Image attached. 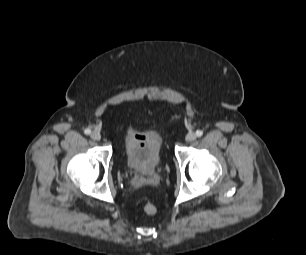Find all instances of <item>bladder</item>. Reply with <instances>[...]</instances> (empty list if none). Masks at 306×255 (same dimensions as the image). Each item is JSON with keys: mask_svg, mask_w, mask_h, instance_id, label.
<instances>
[{"mask_svg": "<svg viewBox=\"0 0 306 255\" xmlns=\"http://www.w3.org/2000/svg\"><path fill=\"white\" fill-rule=\"evenodd\" d=\"M163 139L156 130L142 131L141 138L125 137L124 152L128 167L137 173L148 174L161 163Z\"/></svg>", "mask_w": 306, "mask_h": 255, "instance_id": "bladder-1", "label": "bladder"}]
</instances>
